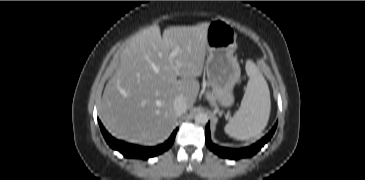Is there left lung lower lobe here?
Segmentation results:
<instances>
[{
  "instance_id": "obj_1",
  "label": "left lung lower lobe",
  "mask_w": 365,
  "mask_h": 180,
  "mask_svg": "<svg viewBox=\"0 0 365 180\" xmlns=\"http://www.w3.org/2000/svg\"><path fill=\"white\" fill-rule=\"evenodd\" d=\"M276 127H277V123L265 137H263L260 141L253 144L252 146H249V147H246L243 149H228V148L216 146L211 142L210 129H209V123H208L206 126V129H205V141L210 150H212L214 153H216L217 155H219L223 158L239 159V158H243V157H250V156L256 154L264 146V144L270 140V138L272 137V135L274 134V132L276 130Z\"/></svg>"
}]
</instances>
